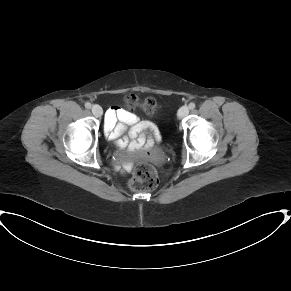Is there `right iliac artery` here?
I'll use <instances>...</instances> for the list:
<instances>
[{"mask_svg": "<svg viewBox=\"0 0 291 291\" xmlns=\"http://www.w3.org/2000/svg\"><path fill=\"white\" fill-rule=\"evenodd\" d=\"M85 107H86L87 109H90V108H91V103L86 102V103H85Z\"/></svg>", "mask_w": 291, "mask_h": 291, "instance_id": "1", "label": "right iliac artery"}]
</instances>
